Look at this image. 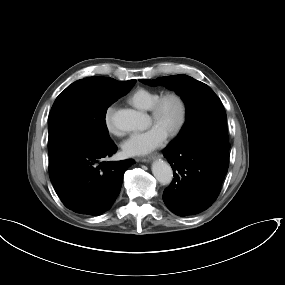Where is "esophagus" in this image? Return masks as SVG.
<instances>
[{"instance_id":"1","label":"esophagus","mask_w":285,"mask_h":285,"mask_svg":"<svg viewBox=\"0 0 285 285\" xmlns=\"http://www.w3.org/2000/svg\"><path fill=\"white\" fill-rule=\"evenodd\" d=\"M162 155L159 154V153H153L147 157H137L136 158V161H141V162H148V161H151V160H154V159H157V158H161Z\"/></svg>"}]
</instances>
